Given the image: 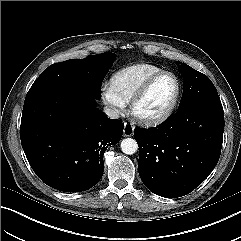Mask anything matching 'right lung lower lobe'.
Instances as JSON below:
<instances>
[{"instance_id": "right-lung-lower-lobe-1", "label": "right lung lower lobe", "mask_w": 241, "mask_h": 241, "mask_svg": "<svg viewBox=\"0 0 241 241\" xmlns=\"http://www.w3.org/2000/svg\"><path fill=\"white\" fill-rule=\"evenodd\" d=\"M96 100L70 82H50L28 91L21 144L33 171L46 185L81 192L101 179L103 154L120 141L124 125L97 109Z\"/></svg>"}]
</instances>
